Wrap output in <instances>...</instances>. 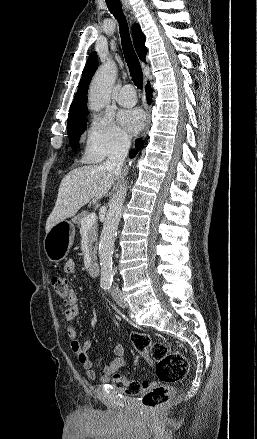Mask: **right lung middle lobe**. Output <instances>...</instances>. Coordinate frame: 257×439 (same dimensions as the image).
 <instances>
[{"instance_id": "obj_1", "label": "right lung middle lobe", "mask_w": 257, "mask_h": 439, "mask_svg": "<svg viewBox=\"0 0 257 439\" xmlns=\"http://www.w3.org/2000/svg\"><path fill=\"white\" fill-rule=\"evenodd\" d=\"M87 123L86 115L70 116L68 118V135L71 146L74 147L79 140L81 134L85 131Z\"/></svg>"}]
</instances>
